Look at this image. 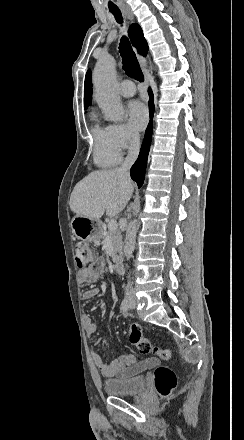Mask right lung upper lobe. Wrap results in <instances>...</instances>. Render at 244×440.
Here are the masks:
<instances>
[{"instance_id": "1", "label": "right lung upper lobe", "mask_w": 244, "mask_h": 440, "mask_svg": "<svg viewBox=\"0 0 244 440\" xmlns=\"http://www.w3.org/2000/svg\"><path fill=\"white\" fill-rule=\"evenodd\" d=\"M129 36L133 46H135L140 54L145 56L148 52V44L144 38L143 31L138 24H132L129 28ZM92 95V75L88 70L84 84V108L86 109L91 103Z\"/></svg>"}]
</instances>
